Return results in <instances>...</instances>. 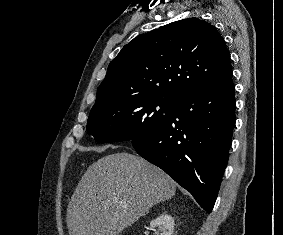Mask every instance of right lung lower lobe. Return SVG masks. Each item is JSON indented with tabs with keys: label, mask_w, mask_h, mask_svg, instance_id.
<instances>
[{
	"label": "right lung lower lobe",
	"mask_w": 283,
	"mask_h": 235,
	"mask_svg": "<svg viewBox=\"0 0 283 235\" xmlns=\"http://www.w3.org/2000/svg\"><path fill=\"white\" fill-rule=\"evenodd\" d=\"M232 75L174 99L168 120L132 140L137 153L188 190L208 213L217 198L236 122Z\"/></svg>",
	"instance_id": "right-lung-lower-lobe-1"
}]
</instances>
